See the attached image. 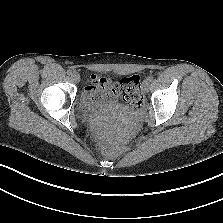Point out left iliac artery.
<instances>
[{
	"label": "left iliac artery",
	"instance_id": "1",
	"mask_svg": "<svg viewBox=\"0 0 223 223\" xmlns=\"http://www.w3.org/2000/svg\"><path fill=\"white\" fill-rule=\"evenodd\" d=\"M147 81L152 82V81H153V76H149V77L147 78Z\"/></svg>",
	"mask_w": 223,
	"mask_h": 223
}]
</instances>
